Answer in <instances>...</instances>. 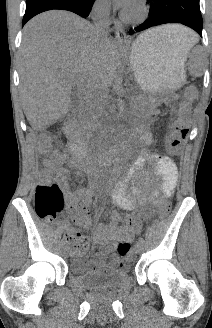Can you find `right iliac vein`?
<instances>
[{"label": "right iliac vein", "instance_id": "63e3f726", "mask_svg": "<svg viewBox=\"0 0 212 328\" xmlns=\"http://www.w3.org/2000/svg\"><path fill=\"white\" fill-rule=\"evenodd\" d=\"M63 254L65 257H68L70 255V250L67 246L63 248Z\"/></svg>", "mask_w": 212, "mask_h": 328}]
</instances>
